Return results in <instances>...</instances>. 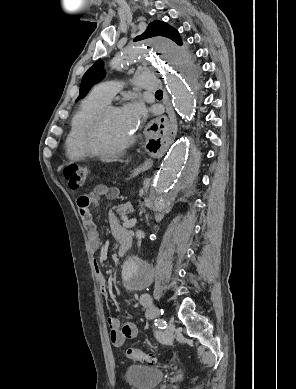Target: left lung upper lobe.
<instances>
[{"label": "left lung upper lobe", "instance_id": "obj_1", "mask_svg": "<svg viewBox=\"0 0 296 389\" xmlns=\"http://www.w3.org/2000/svg\"><path fill=\"white\" fill-rule=\"evenodd\" d=\"M154 36H164L170 38L178 45L182 44L178 31L169 26L167 23L160 21H154L150 23L146 31L141 35L137 36L134 41H139ZM103 66V61L99 60L95 62L94 65L86 71L82 78L80 85V94L76 101L80 98H83L94 84L98 83L104 78L105 71Z\"/></svg>", "mask_w": 296, "mask_h": 389}]
</instances>
